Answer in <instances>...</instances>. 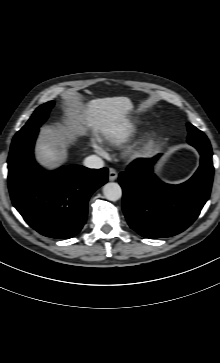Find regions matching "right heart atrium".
Returning a JSON list of instances; mask_svg holds the SVG:
<instances>
[{
  "instance_id": "1",
  "label": "right heart atrium",
  "mask_w": 220,
  "mask_h": 363,
  "mask_svg": "<svg viewBox=\"0 0 220 363\" xmlns=\"http://www.w3.org/2000/svg\"><path fill=\"white\" fill-rule=\"evenodd\" d=\"M93 147L97 152L102 153L103 152V147L101 146V144L99 142H94L93 143Z\"/></svg>"
}]
</instances>
